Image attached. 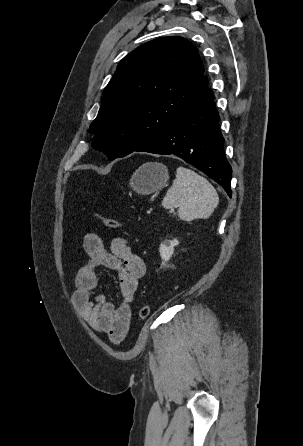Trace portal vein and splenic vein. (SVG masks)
I'll use <instances>...</instances> for the list:
<instances>
[{"label": "portal vein and splenic vein", "instance_id": "portal-vein-and-splenic-vein-1", "mask_svg": "<svg viewBox=\"0 0 303 446\" xmlns=\"http://www.w3.org/2000/svg\"><path fill=\"white\" fill-rule=\"evenodd\" d=\"M178 207V205H175V208H177Z\"/></svg>", "mask_w": 303, "mask_h": 446}]
</instances>
